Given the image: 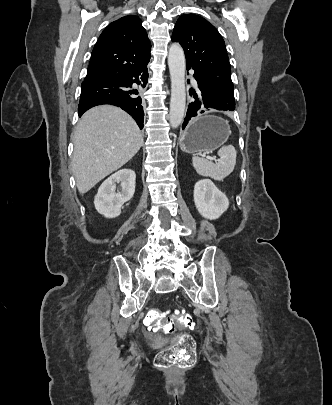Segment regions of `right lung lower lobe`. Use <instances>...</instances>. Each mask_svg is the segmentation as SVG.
Instances as JSON below:
<instances>
[{
  "label": "right lung lower lobe",
  "mask_w": 332,
  "mask_h": 405,
  "mask_svg": "<svg viewBox=\"0 0 332 405\" xmlns=\"http://www.w3.org/2000/svg\"><path fill=\"white\" fill-rule=\"evenodd\" d=\"M147 64L148 62L126 72L85 79L82 82L78 107L79 117L91 107L111 104L128 112L142 129L143 103L141 97L138 96V90L133 89L132 84L136 83L145 87L148 80Z\"/></svg>",
  "instance_id": "right-lung-lower-lobe-1"
}]
</instances>
